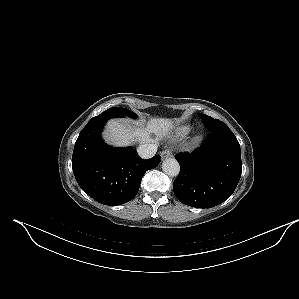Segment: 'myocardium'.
<instances>
[{
    "mask_svg": "<svg viewBox=\"0 0 299 299\" xmlns=\"http://www.w3.org/2000/svg\"><path fill=\"white\" fill-rule=\"evenodd\" d=\"M200 140V136H197L196 138H195V142H198Z\"/></svg>",
    "mask_w": 299,
    "mask_h": 299,
    "instance_id": "myocardium-1",
    "label": "myocardium"
}]
</instances>
